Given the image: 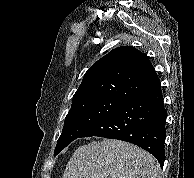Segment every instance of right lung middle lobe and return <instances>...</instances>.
<instances>
[{"instance_id": "dd1d6c3e", "label": "right lung middle lobe", "mask_w": 194, "mask_h": 178, "mask_svg": "<svg viewBox=\"0 0 194 178\" xmlns=\"http://www.w3.org/2000/svg\"><path fill=\"white\" fill-rule=\"evenodd\" d=\"M123 103V101L108 98L72 101V107L65 118L62 134L57 141L54 155H57L72 141L79 138Z\"/></svg>"}]
</instances>
